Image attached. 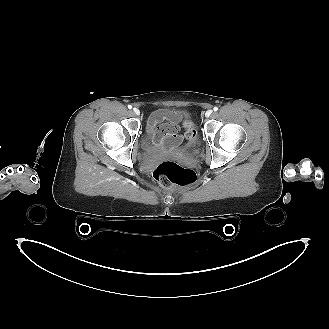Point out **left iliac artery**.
I'll list each match as a JSON object with an SVG mask.
<instances>
[{
  "mask_svg": "<svg viewBox=\"0 0 329 329\" xmlns=\"http://www.w3.org/2000/svg\"><path fill=\"white\" fill-rule=\"evenodd\" d=\"M213 110L216 112L218 110V107H214Z\"/></svg>",
  "mask_w": 329,
  "mask_h": 329,
  "instance_id": "left-iliac-artery-1",
  "label": "left iliac artery"
}]
</instances>
